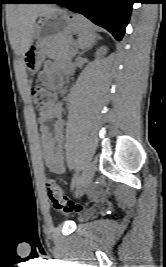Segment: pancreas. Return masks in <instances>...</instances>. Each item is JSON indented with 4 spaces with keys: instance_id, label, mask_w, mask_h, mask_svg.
<instances>
[{
    "instance_id": "cf45deb5",
    "label": "pancreas",
    "mask_w": 166,
    "mask_h": 267,
    "mask_svg": "<svg viewBox=\"0 0 166 267\" xmlns=\"http://www.w3.org/2000/svg\"><path fill=\"white\" fill-rule=\"evenodd\" d=\"M48 55L55 60L70 59L75 55V50L70 45L68 38H62L52 43Z\"/></svg>"
}]
</instances>
